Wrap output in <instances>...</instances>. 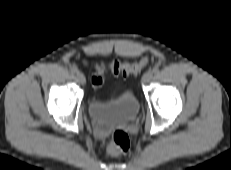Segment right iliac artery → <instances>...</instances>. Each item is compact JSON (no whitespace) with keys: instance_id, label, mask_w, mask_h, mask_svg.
I'll return each instance as SVG.
<instances>
[{"instance_id":"1","label":"right iliac artery","mask_w":231,"mask_h":170,"mask_svg":"<svg viewBox=\"0 0 231 170\" xmlns=\"http://www.w3.org/2000/svg\"><path fill=\"white\" fill-rule=\"evenodd\" d=\"M70 71L72 74H75L78 72V69L76 67H71Z\"/></svg>"}]
</instances>
